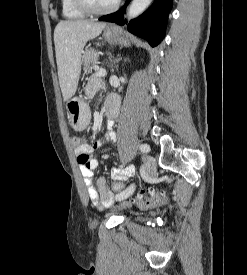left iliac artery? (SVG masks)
Returning <instances> with one entry per match:
<instances>
[{"instance_id": "left-iliac-artery-1", "label": "left iliac artery", "mask_w": 247, "mask_h": 275, "mask_svg": "<svg viewBox=\"0 0 247 275\" xmlns=\"http://www.w3.org/2000/svg\"><path fill=\"white\" fill-rule=\"evenodd\" d=\"M140 150H141V152H143V153H147V152H149L150 147H149V145H147V144H142V145L140 146ZM127 189L129 190V192H130V191H133V190L135 189V185L132 184V185H130ZM125 196H126V192L123 191V192L117 194L116 197H115V199H116V200H123V199L125 198Z\"/></svg>"}]
</instances>
